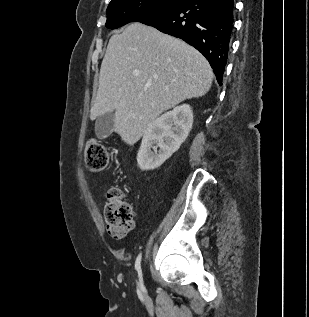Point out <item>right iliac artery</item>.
<instances>
[{"label":"right iliac artery","mask_w":309,"mask_h":317,"mask_svg":"<svg viewBox=\"0 0 309 317\" xmlns=\"http://www.w3.org/2000/svg\"><path fill=\"white\" fill-rule=\"evenodd\" d=\"M141 258H142V255L140 253L135 261V270L138 273L139 285L141 288H143V278H142V271H141Z\"/></svg>","instance_id":"right-iliac-artery-1"}]
</instances>
